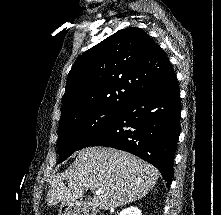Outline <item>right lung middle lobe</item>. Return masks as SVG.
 <instances>
[{"label":"right lung middle lobe","mask_w":221,"mask_h":215,"mask_svg":"<svg viewBox=\"0 0 221 215\" xmlns=\"http://www.w3.org/2000/svg\"><path fill=\"white\" fill-rule=\"evenodd\" d=\"M119 110L109 108H92L69 114L60 119L59 152L61 163L80 145L94 134L115 121Z\"/></svg>","instance_id":"right-lung-middle-lobe-1"}]
</instances>
